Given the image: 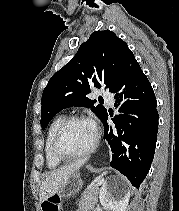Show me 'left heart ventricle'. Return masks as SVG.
I'll use <instances>...</instances> for the list:
<instances>
[{
    "label": "left heart ventricle",
    "mask_w": 179,
    "mask_h": 211,
    "mask_svg": "<svg viewBox=\"0 0 179 211\" xmlns=\"http://www.w3.org/2000/svg\"><path fill=\"white\" fill-rule=\"evenodd\" d=\"M94 139L95 130L90 122H75L65 131L61 141V149L69 155L79 154L90 148Z\"/></svg>",
    "instance_id": "left-heart-ventricle-1"
}]
</instances>
